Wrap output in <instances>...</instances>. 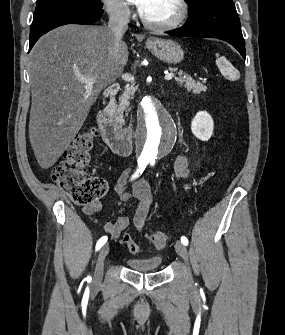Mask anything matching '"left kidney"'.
Masks as SVG:
<instances>
[{"instance_id":"5707ae66","label":"left kidney","mask_w":285,"mask_h":335,"mask_svg":"<svg viewBox=\"0 0 285 335\" xmlns=\"http://www.w3.org/2000/svg\"><path fill=\"white\" fill-rule=\"evenodd\" d=\"M191 130L198 140L208 142L214 130V122L210 114H207V112H197L195 118L192 120Z\"/></svg>"}]
</instances>
